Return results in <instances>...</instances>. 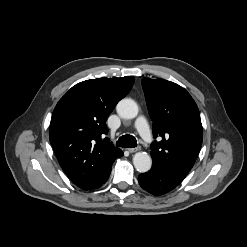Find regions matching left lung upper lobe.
I'll list each match as a JSON object with an SVG mask.
<instances>
[{
    "label": "left lung upper lobe",
    "instance_id": "1",
    "mask_svg": "<svg viewBox=\"0 0 247 247\" xmlns=\"http://www.w3.org/2000/svg\"><path fill=\"white\" fill-rule=\"evenodd\" d=\"M149 114L153 121V166L183 180L199 154L203 133L198 107L190 94L176 83L142 79Z\"/></svg>",
    "mask_w": 247,
    "mask_h": 247
}]
</instances>
